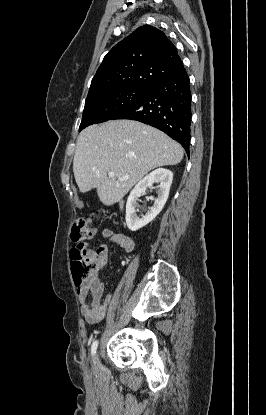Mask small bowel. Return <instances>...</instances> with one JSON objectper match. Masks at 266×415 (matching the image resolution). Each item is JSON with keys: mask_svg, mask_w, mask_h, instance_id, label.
I'll list each match as a JSON object with an SVG mask.
<instances>
[{"mask_svg": "<svg viewBox=\"0 0 266 415\" xmlns=\"http://www.w3.org/2000/svg\"><path fill=\"white\" fill-rule=\"evenodd\" d=\"M102 239V243L84 248L88 261L96 264L98 270L102 269L109 261L110 244L118 246L125 253H130L134 249L132 238L111 229H105L102 232ZM97 272L92 273L77 288L81 313L86 321L92 324L101 321L105 317L113 299L111 294L106 295L102 299L104 283L99 278ZM89 295L91 296V301L88 300Z\"/></svg>", "mask_w": 266, "mask_h": 415, "instance_id": "1", "label": "small bowel"}]
</instances>
